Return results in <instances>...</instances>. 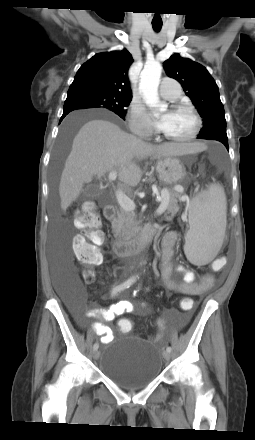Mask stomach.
I'll list each match as a JSON object with an SVG mask.
<instances>
[{"mask_svg":"<svg viewBox=\"0 0 255 440\" xmlns=\"http://www.w3.org/2000/svg\"><path fill=\"white\" fill-rule=\"evenodd\" d=\"M159 179L166 185L181 182L186 174L184 165L176 157L159 159L156 164Z\"/></svg>","mask_w":255,"mask_h":440,"instance_id":"obj_1","label":"stomach"}]
</instances>
